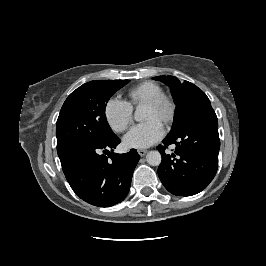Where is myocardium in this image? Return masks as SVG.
I'll list each match as a JSON object with an SVG mask.
<instances>
[{
    "mask_svg": "<svg viewBox=\"0 0 266 266\" xmlns=\"http://www.w3.org/2000/svg\"><path fill=\"white\" fill-rule=\"evenodd\" d=\"M146 105L155 108H160L163 111V123L170 124L174 120L176 114V104L170 96L162 94L148 101Z\"/></svg>",
    "mask_w": 266,
    "mask_h": 266,
    "instance_id": "f54148a6",
    "label": "myocardium"
}]
</instances>
